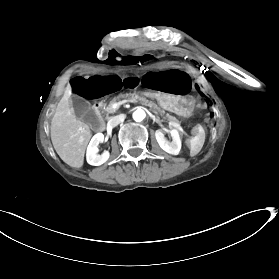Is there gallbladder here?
Returning a JSON list of instances; mask_svg holds the SVG:
<instances>
[{
    "instance_id": "obj_1",
    "label": "gallbladder",
    "mask_w": 279,
    "mask_h": 279,
    "mask_svg": "<svg viewBox=\"0 0 279 279\" xmlns=\"http://www.w3.org/2000/svg\"><path fill=\"white\" fill-rule=\"evenodd\" d=\"M71 100L75 114L81 121L89 123L92 129H99L102 126V119L96 116L87 100L78 95H74Z\"/></svg>"
}]
</instances>
